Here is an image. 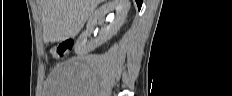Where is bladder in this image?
Masks as SVG:
<instances>
[{"instance_id":"obj_1","label":"bladder","mask_w":232,"mask_h":96,"mask_svg":"<svg viewBox=\"0 0 232 96\" xmlns=\"http://www.w3.org/2000/svg\"><path fill=\"white\" fill-rule=\"evenodd\" d=\"M47 89H50V87H49V86H47ZM50 92H54V91H50Z\"/></svg>"}]
</instances>
